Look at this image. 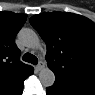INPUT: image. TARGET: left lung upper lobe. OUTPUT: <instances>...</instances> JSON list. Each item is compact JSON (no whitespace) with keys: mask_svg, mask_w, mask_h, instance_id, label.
<instances>
[{"mask_svg":"<svg viewBox=\"0 0 95 95\" xmlns=\"http://www.w3.org/2000/svg\"><path fill=\"white\" fill-rule=\"evenodd\" d=\"M47 45L46 61L55 78L95 85V24L73 13H42L30 18Z\"/></svg>","mask_w":95,"mask_h":95,"instance_id":"left-lung-upper-lobe-1","label":"left lung upper lobe"}]
</instances>
